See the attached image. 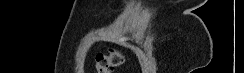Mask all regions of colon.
<instances>
[{
    "mask_svg": "<svg viewBox=\"0 0 244 73\" xmlns=\"http://www.w3.org/2000/svg\"><path fill=\"white\" fill-rule=\"evenodd\" d=\"M124 63L123 54L117 49L110 48L105 53L96 55V67L98 73H112Z\"/></svg>",
    "mask_w": 244,
    "mask_h": 73,
    "instance_id": "5ec220e1",
    "label": "colon"
}]
</instances>
